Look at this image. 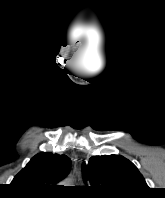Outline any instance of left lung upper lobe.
Instances as JSON below:
<instances>
[{
  "instance_id": "left-lung-upper-lobe-1",
  "label": "left lung upper lobe",
  "mask_w": 165,
  "mask_h": 198,
  "mask_svg": "<svg viewBox=\"0 0 165 198\" xmlns=\"http://www.w3.org/2000/svg\"><path fill=\"white\" fill-rule=\"evenodd\" d=\"M82 171L90 190L101 198H139L149 189L136 166L121 155L93 156Z\"/></svg>"
}]
</instances>
